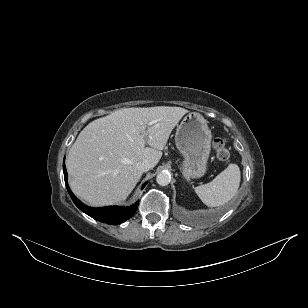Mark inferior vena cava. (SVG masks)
<instances>
[{"label": "inferior vena cava", "instance_id": "inferior-vena-cava-1", "mask_svg": "<svg viewBox=\"0 0 308 308\" xmlns=\"http://www.w3.org/2000/svg\"><path fill=\"white\" fill-rule=\"evenodd\" d=\"M136 167L141 172H147L152 168V164L149 160H142L136 164Z\"/></svg>", "mask_w": 308, "mask_h": 308}]
</instances>
